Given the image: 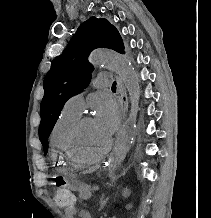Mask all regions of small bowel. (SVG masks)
I'll return each instance as SVG.
<instances>
[{
    "mask_svg": "<svg viewBox=\"0 0 211 218\" xmlns=\"http://www.w3.org/2000/svg\"><path fill=\"white\" fill-rule=\"evenodd\" d=\"M75 211V208L74 207H70L67 209V212L68 213H73Z\"/></svg>",
    "mask_w": 211,
    "mask_h": 218,
    "instance_id": "small-bowel-1",
    "label": "small bowel"
}]
</instances>
